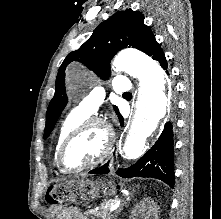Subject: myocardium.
Instances as JSON below:
<instances>
[{
  "label": "myocardium",
  "mask_w": 221,
  "mask_h": 219,
  "mask_svg": "<svg viewBox=\"0 0 221 219\" xmlns=\"http://www.w3.org/2000/svg\"><path fill=\"white\" fill-rule=\"evenodd\" d=\"M92 126H99L105 133L106 140H105V146L102 152L96 159H94L93 161L89 162L86 165H83L77 168H71L67 166L65 163V153H66L68 146L77 138L79 134H81L87 128L92 127ZM114 142H115V139H114L113 130L111 126L105 120L98 118V117L87 118L83 122L78 124L76 127H74L65 137L63 142L61 143L58 153H57L58 168L60 169L61 172L67 173V174H74V173L82 172L90 168H93L108 157V155L111 153L113 149Z\"/></svg>",
  "instance_id": "1"
}]
</instances>
